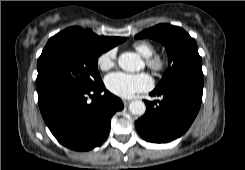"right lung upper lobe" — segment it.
Returning <instances> with one entry per match:
<instances>
[{
  "mask_svg": "<svg viewBox=\"0 0 245 170\" xmlns=\"http://www.w3.org/2000/svg\"><path fill=\"white\" fill-rule=\"evenodd\" d=\"M55 36L77 39L106 51L126 40V38L121 37L97 36L90 29L84 30L77 26L67 28Z\"/></svg>",
  "mask_w": 245,
  "mask_h": 170,
  "instance_id": "cb5924a9",
  "label": "right lung upper lobe"
}]
</instances>
